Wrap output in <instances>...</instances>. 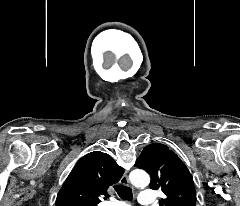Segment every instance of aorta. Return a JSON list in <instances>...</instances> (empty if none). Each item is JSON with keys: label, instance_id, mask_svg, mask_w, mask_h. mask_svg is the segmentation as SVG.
<instances>
[{"label": "aorta", "instance_id": "762f6f07", "mask_svg": "<svg viewBox=\"0 0 240 206\" xmlns=\"http://www.w3.org/2000/svg\"><path fill=\"white\" fill-rule=\"evenodd\" d=\"M129 178L131 183L136 187L146 186L150 181L149 175L143 170L132 171Z\"/></svg>", "mask_w": 240, "mask_h": 206}]
</instances>
